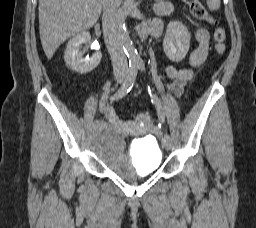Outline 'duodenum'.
Returning a JSON list of instances; mask_svg holds the SVG:
<instances>
[{
  "instance_id": "duodenum-1",
  "label": "duodenum",
  "mask_w": 256,
  "mask_h": 228,
  "mask_svg": "<svg viewBox=\"0 0 256 228\" xmlns=\"http://www.w3.org/2000/svg\"><path fill=\"white\" fill-rule=\"evenodd\" d=\"M137 33L139 34L140 37L145 38L148 35H157V29L154 26V24H142L137 27Z\"/></svg>"
}]
</instances>
